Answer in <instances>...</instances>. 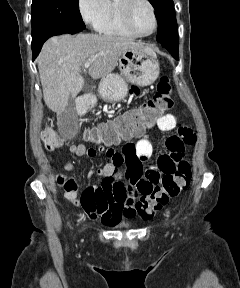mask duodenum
<instances>
[{
    "instance_id": "1",
    "label": "duodenum",
    "mask_w": 240,
    "mask_h": 288,
    "mask_svg": "<svg viewBox=\"0 0 240 288\" xmlns=\"http://www.w3.org/2000/svg\"><path fill=\"white\" fill-rule=\"evenodd\" d=\"M90 97H81L77 102V110L80 114H85L89 110Z\"/></svg>"
}]
</instances>
